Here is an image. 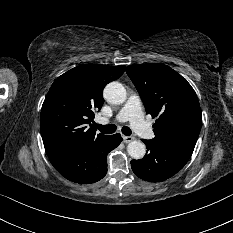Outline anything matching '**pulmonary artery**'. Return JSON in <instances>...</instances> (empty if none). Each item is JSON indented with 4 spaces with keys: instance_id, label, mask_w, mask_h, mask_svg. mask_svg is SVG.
I'll list each match as a JSON object with an SVG mask.
<instances>
[{
    "instance_id": "obj_1",
    "label": "pulmonary artery",
    "mask_w": 233,
    "mask_h": 233,
    "mask_svg": "<svg viewBox=\"0 0 233 233\" xmlns=\"http://www.w3.org/2000/svg\"><path fill=\"white\" fill-rule=\"evenodd\" d=\"M119 122L129 121L133 129L144 138H152L154 136L153 130L148 126L144 119L142 112L140 98L132 94L116 116ZM109 120L104 117H99L97 123L106 124Z\"/></svg>"
}]
</instances>
